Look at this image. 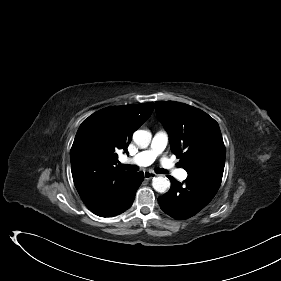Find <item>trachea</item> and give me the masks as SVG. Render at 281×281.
Listing matches in <instances>:
<instances>
[{"label": "trachea", "mask_w": 281, "mask_h": 281, "mask_svg": "<svg viewBox=\"0 0 281 281\" xmlns=\"http://www.w3.org/2000/svg\"><path fill=\"white\" fill-rule=\"evenodd\" d=\"M119 166L127 171L136 172L139 168L136 165H127V164H119ZM155 172L158 174H166L167 171L161 168L155 169Z\"/></svg>", "instance_id": "3493384b"}]
</instances>
